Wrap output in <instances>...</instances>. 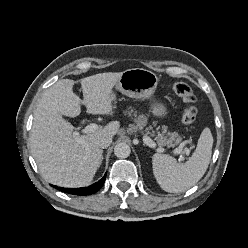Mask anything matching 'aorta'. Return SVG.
Masks as SVG:
<instances>
[{
  "label": "aorta",
  "instance_id": "aorta-1",
  "mask_svg": "<svg viewBox=\"0 0 248 248\" xmlns=\"http://www.w3.org/2000/svg\"><path fill=\"white\" fill-rule=\"evenodd\" d=\"M130 153L131 149L127 143L121 142L114 147V154L118 158H127Z\"/></svg>",
  "mask_w": 248,
  "mask_h": 248
}]
</instances>
